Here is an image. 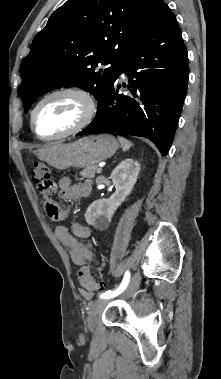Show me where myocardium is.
<instances>
[{
	"label": "myocardium",
	"mask_w": 221,
	"mask_h": 379,
	"mask_svg": "<svg viewBox=\"0 0 221 379\" xmlns=\"http://www.w3.org/2000/svg\"><path fill=\"white\" fill-rule=\"evenodd\" d=\"M60 95H71L74 97L79 98L84 106V111L79 119V121L72 126L71 128L67 129L66 131H63L59 134L52 135V136H41L37 133L35 129V116L38 112L39 108L43 105L44 102L49 100L50 98L60 96ZM97 111L96 102L93 98V96L85 89L80 87H74V86H68V87H61L54 89L48 93H46L44 96H42L38 102L35 104V106L32 108L30 112L29 117V125L31 132L35 135L36 138L42 140V141H53L65 138L67 136H70L74 133H77L84 129L86 126H88L91 121L94 119Z\"/></svg>",
	"instance_id": "obj_1"
}]
</instances>
